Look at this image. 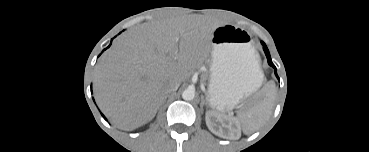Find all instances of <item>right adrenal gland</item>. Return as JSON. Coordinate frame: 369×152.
<instances>
[{
  "label": "right adrenal gland",
  "mask_w": 369,
  "mask_h": 152,
  "mask_svg": "<svg viewBox=\"0 0 369 152\" xmlns=\"http://www.w3.org/2000/svg\"><path fill=\"white\" fill-rule=\"evenodd\" d=\"M166 99H167V96L164 97L162 103H161V106L166 102Z\"/></svg>",
  "instance_id": "2a0ac1e0"
}]
</instances>
